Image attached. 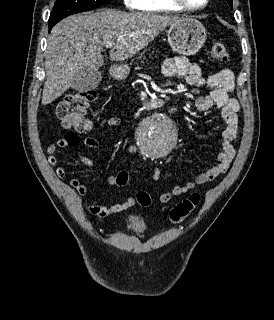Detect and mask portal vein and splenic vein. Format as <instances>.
Instances as JSON below:
<instances>
[{"mask_svg": "<svg viewBox=\"0 0 274 320\" xmlns=\"http://www.w3.org/2000/svg\"><path fill=\"white\" fill-rule=\"evenodd\" d=\"M105 48H112L111 42H109V44H105Z\"/></svg>", "mask_w": 274, "mask_h": 320, "instance_id": "1", "label": "portal vein and splenic vein"}]
</instances>
